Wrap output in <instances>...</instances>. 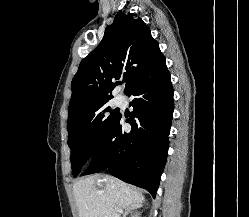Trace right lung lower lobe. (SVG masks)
<instances>
[{"mask_svg":"<svg viewBox=\"0 0 249 217\" xmlns=\"http://www.w3.org/2000/svg\"><path fill=\"white\" fill-rule=\"evenodd\" d=\"M133 96L134 110L126 120L131 131L123 129L120 114L90 165L81 175L108 169L124 182L148 190L156 196L169 147L173 88L165 57L160 53L125 93Z\"/></svg>","mask_w":249,"mask_h":217,"instance_id":"right-lung-lower-lobe-1","label":"right lung lower lobe"}]
</instances>
